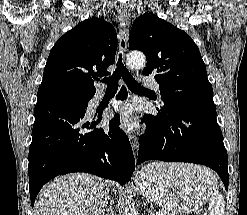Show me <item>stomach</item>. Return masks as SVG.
I'll list each match as a JSON object with an SVG mask.
<instances>
[{
  "instance_id": "1",
  "label": "stomach",
  "mask_w": 247,
  "mask_h": 215,
  "mask_svg": "<svg viewBox=\"0 0 247 215\" xmlns=\"http://www.w3.org/2000/svg\"><path fill=\"white\" fill-rule=\"evenodd\" d=\"M191 164L154 162L136 177L140 193L171 215L196 211L216 186V178Z\"/></svg>"
}]
</instances>
